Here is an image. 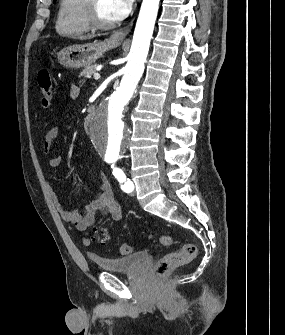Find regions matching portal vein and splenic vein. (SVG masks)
<instances>
[{"label":"portal vein and splenic vein","instance_id":"18ae733b","mask_svg":"<svg viewBox=\"0 0 285 335\" xmlns=\"http://www.w3.org/2000/svg\"><path fill=\"white\" fill-rule=\"evenodd\" d=\"M94 80H99L101 78L100 74H94L93 76Z\"/></svg>","mask_w":285,"mask_h":335}]
</instances>
